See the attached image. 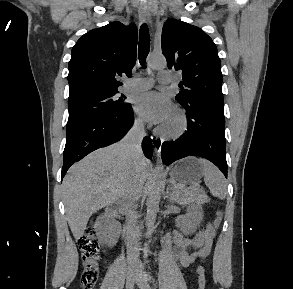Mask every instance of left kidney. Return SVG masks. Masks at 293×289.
<instances>
[{
  "mask_svg": "<svg viewBox=\"0 0 293 289\" xmlns=\"http://www.w3.org/2000/svg\"><path fill=\"white\" fill-rule=\"evenodd\" d=\"M201 220L202 214L197 211L193 214L180 216L178 225L184 234L189 235L196 231V228L200 224Z\"/></svg>",
  "mask_w": 293,
  "mask_h": 289,
  "instance_id": "1",
  "label": "left kidney"
}]
</instances>
